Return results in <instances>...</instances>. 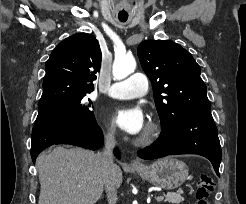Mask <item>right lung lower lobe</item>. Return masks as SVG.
I'll return each mask as SVG.
<instances>
[{"label":"right lung lower lobe","instance_id":"obj_1","mask_svg":"<svg viewBox=\"0 0 246 204\" xmlns=\"http://www.w3.org/2000/svg\"><path fill=\"white\" fill-rule=\"evenodd\" d=\"M54 144H70L97 150L103 144V134L95 119L83 122L66 120L53 115L37 116L32 131L33 163L41 151ZM114 153L117 158H120L118 149H115Z\"/></svg>","mask_w":246,"mask_h":204}]
</instances>
